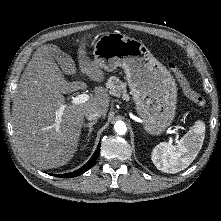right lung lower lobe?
I'll list each match as a JSON object with an SVG mask.
<instances>
[{
  "mask_svg": "<svg viewBox=\"0 0 221 221\" xmlns=\"http://www.w3.org/2000/svg\"><path fill=\"white\" fill-rule=\"evenodd\" d=\"M100 143L98 144L97 149L95 150V153L93 154V156L90 158V160L81 168H79L78 170L71 172V173H67V174H52L53 176L55 175L56 177H67V178H71V177H76L79 176L81 174H83L84 172H86L88 169H90L91 167H93L95 165V162L99 156V150H100Z\"/></svg>",
  "mask_w": 221,
  "mask_h": 221,
  "instance_id": "right-lung-lower-lobe-1",
  "label": "right lung lower lobe"
}]
</instances>
